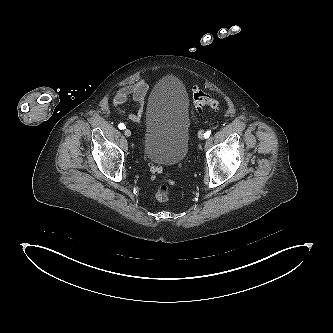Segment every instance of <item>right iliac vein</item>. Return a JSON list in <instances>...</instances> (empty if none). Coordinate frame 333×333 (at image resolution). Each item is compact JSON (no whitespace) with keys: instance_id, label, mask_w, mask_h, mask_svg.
Segmentation results:
<instances>
[{"instance_id":"63e3f726","label":"right iliac vein","mask_w":333,"mask_h":333,"mask_svg":"<svg viewBox=\"0 0 333 333\" xmlns=\"http://www.w3.org/2000/svg\"><path fill=\"white\" fill-rule=\"evenodd\" d=\"M124 134H125V136L130 137L131 131L129 129H125Z\"/></svg>"}]
</instances>
